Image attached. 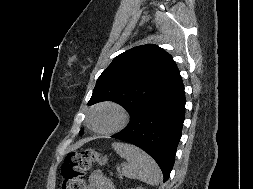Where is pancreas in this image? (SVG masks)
I'll return each mask as SVG.
<instances>
[{"instance_id": "obj_1", "label": "pancreas", "mask_w": 253, "mask_h": 189, "mask_svg": "<svg viewBox=\"0 0 253 189\" xmlns=\"http://www.w3.org/2000/svg\"><path fill=\"white\" fill-rule=\"evenodd\" d=\"M118 171H119V177H120V179H122V174L120 173L119 169H118Z\"/></svg>"}]
</instances>
